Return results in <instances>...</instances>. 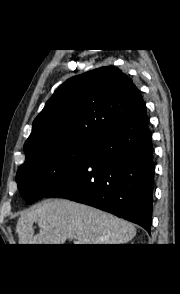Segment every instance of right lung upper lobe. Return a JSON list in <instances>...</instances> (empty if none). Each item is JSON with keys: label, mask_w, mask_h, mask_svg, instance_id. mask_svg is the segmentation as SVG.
<instances>
[{"label": "right lung upper lobe", "mask_w": 180, "mask_h": 294, "mask_svg": "<svg viewBox=\"0 0 180 294\" xmlns=\"http://www.w3.org/2000/svg\"><path fill=\"white\" fill-rule=\"evenodd\" d=\"M143 103L132 80L113 66L74 76L54 92L34 120L24 145L26 159L65 142H96Z\"/></svg>", "instance_id": "1"}]
</instances>
